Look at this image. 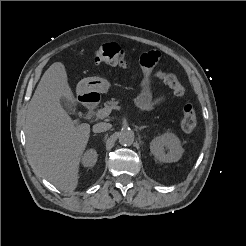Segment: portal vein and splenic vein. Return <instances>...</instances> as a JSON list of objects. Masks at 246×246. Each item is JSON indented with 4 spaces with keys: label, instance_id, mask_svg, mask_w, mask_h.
Returning a JSON list of instances; mask_svg holds the SVG:
<instances>
[{
    "label": "portal vein and splenic vein",
    "instance_id": "obj_1",
    "mask_svg": "<svg viewBox=\"0 0 246 246\" xmlns=\"http://www.w3.org/2000/svg\"><path fill=\"white\" fill-rule=\"evenodd\" d=\"M114 109L119 110V109H121V107L117 106ZM111 111H112V108H103V109H100V110L97 111L96 117L98 119H103V118L109 116L110 113H111Z\"/></svg>",
    "mask_w": 246,
    "mask_h": 246
}]
</instances>
